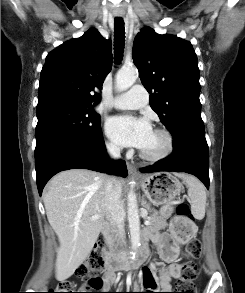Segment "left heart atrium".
Instances as JSON below:
<instances>
[{"mask_svg":"<svg viewBox=\"0 0 245 293\" xmlns=\"http://www.w3.org/2000/svg\"><path fill=\"white\" fill-rule=\"evenodd\" d=\"M108 136L123 146L143 149L148 143L153 130L146 119L130 116H114L106 123Z\"/></svg>","mask_w":245,"mask_h":293,"instance_id":"39dd6f15","label":"left heart atrium"}]
</instances>
